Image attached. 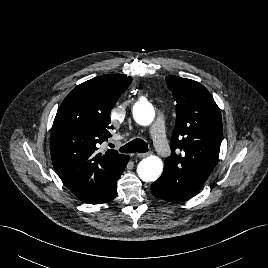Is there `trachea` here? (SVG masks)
Instances as JSON below:
<instances>
[{"label": "trachea", "mask_w": 268, "mask_h": 268, "mask_svg": "<svg viewBox=\"0 0 268 268\" xmlns=\"http://www.w3.org/2000/svg\"><path fill=\"white\" fill-rule=\"evenodd\" d=\"M119 150L123 153H146L148 152V145L142 139L136 138L127 143L125 146H122Z\"/></svg>", "instance_id": "obj_1"}]
</instances>
